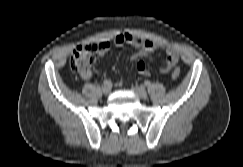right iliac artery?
<instances>
[{"mask_svg":"<svg viewBox=\"0 0 243 167\" xmlns=\"http://www.w3.org/2000/svg\"><path fill=\"white\" fill-rule=\"evenodd\" d=\"M104 85L111 86L112 82L109 79L104 80Z\"/></svg>","mask_w":243,"mask_h":167,"instance_id":"obj_1","label":"right iliac artery"}]
</instances>
